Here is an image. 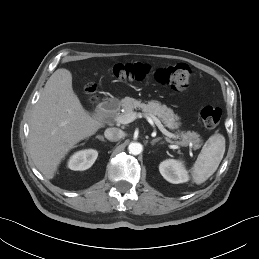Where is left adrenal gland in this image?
Wrapping results in <instances>:
<instances>
[{
	"label": "left adrenal gland",
	"mask_w": 259,
	"mask_h": 259,
	"mask_svg": "<svg viewBox=\"0 0 259 259\" xmlns=\"http://www.w3.org/2000/svg\"><path fill=\"white\" fill-rule=\"evenodd\" d=\"M158 141H160V138H155L150 143H151V145H155V143Z\"/></svg>",
	"instance_id": "1"
}]
</instances>
